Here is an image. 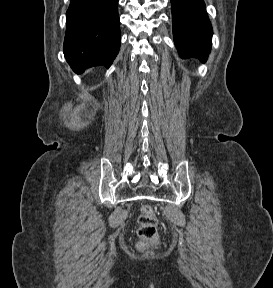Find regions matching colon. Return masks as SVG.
<instances>
[{
	"mask_svg": "<svg viewBox=\"0 0 273 288\" xmlns=\"http://www.w3.org/2000/svg\"><path fill=\"white\" fill-rule=\"evenodd\" d=\"M138 236L141 245H154L158 242L157 216L150 205H142L139 209Z\"/></svg>",
	"mask_w": 273,
	"mask_h": 288,
	"instance_id": "colon-1",
	"label": "colon"
}]
</instances>
